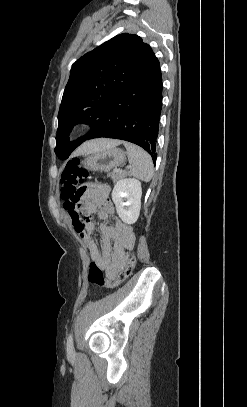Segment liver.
<instances>
[{"mask_svg": "<svg viewBox=\"0 0 247 407\" xmlns=\"http://www.w3.org/2000/svg\"><path fill=\"white\" fill-rule=\"evenodd\" d=\"M120 144H121L120 140H113V139H97V140L88 141L77 149L74 156L88 155V154H91L93 152H97V151H100L103 149L116 147Z\"/></svg>", "mask_w": 247, "mask_h": 407, "instance_id": "1", "label": "liver"}]
</instances>
